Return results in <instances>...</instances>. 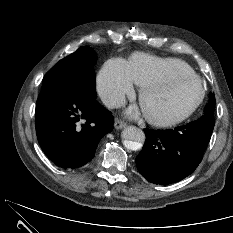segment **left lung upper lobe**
Instances as JSON below:
<instances>
[{"instance_id": "1", "label": "left lung upper lobe", "mask_w": 233, "mask_h": 233, "mask_svg": "<svg viewBox=\"0 0 233 233\" xmlns=\"http://www.w3.org/2000/svg\"><path fill=\"white\" fill-rule=\"evenodd\" d=\"M214 107H215V96L213 93H210L209 102L204 109V115L199 120L214 125V117H213Z\"/></svg>"}]
</instances>
